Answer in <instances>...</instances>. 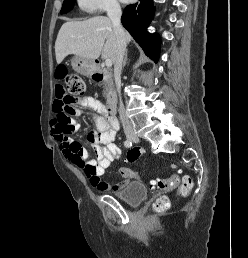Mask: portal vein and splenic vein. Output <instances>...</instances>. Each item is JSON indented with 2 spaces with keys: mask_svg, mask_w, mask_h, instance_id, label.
Listing matches in <instances>:
<instances>
[{
  "mask_svg": "<svg viewBox=\"0 0 248 258\" xmlns=\"http://www.w3.org/2000/svg\"><path fill=\"white\" fill-rule=\"evenodd\" d=\"M105 65H106L107 67H111V66H112V61H111L110 59H106V60H105Z\"/></svg>",
  "mask_w": 248,
  "mask_h": 258,
  "instance_id": "1",
  "label": "portal vein and splenic vein"
}]
</instances>
